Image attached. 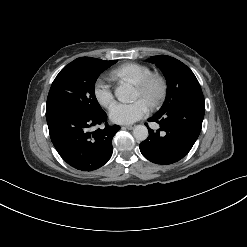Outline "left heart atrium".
<instances>
[{"label":"left heart atrium","instance_id":"39dd6f15","mask_svg":"<svg viewBox=\"0 0 247 247\" xmlns=\"http://www.w3.org/2000/svg\"><path fill=\"white\" fill-rule=\"evenodd\" d=\"M148 102L140 98L133 102H118L110 108V118L119 124H130L148 114Z\"/></svg>","mask_w":247,"mask_h":247}]
</instances>
